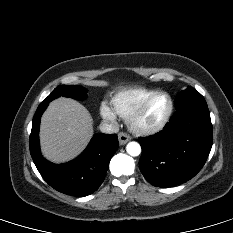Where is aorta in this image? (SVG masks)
<instances>
[{"label": "aorta", "instance_id": "1", "mask_svg": "<svg viewBox=\"0 0 233 233\" xmlns=\"http://www.w3.org/2000/svg\"><path fill=\"white\" fill-rule=\"evenodd\" d=\"M126 151L131 156H138L141 153V146L137 142H129L126 146Z\"/></svg>", "mask_w": 233, "mask_h": 233}]
</instances>
